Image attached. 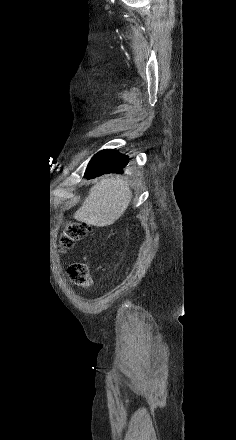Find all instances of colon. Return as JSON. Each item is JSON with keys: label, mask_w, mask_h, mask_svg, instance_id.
Returning <instances> with one entry per match:
<instances>
[{"label": "colon", "mask_w": 236, "mask_h": 440, "mask_svg": "<svg viewBox=\"0 0 236 440\" xmlns=\"http://www.w3.org/2000/svg\"><path fill=\"white\" fill-rule=\"evenodd\" d=\"M89 227L81 222H69L65 225L60 236V246L63 251L83 240L89 233ZM72 283L78 287L87 288L92 284L90 267L86 263H72L68 268Z\"/></svg>", "instance_id": "1"}]
</instances>
